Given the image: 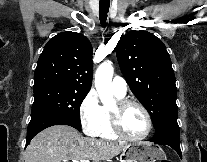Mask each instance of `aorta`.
<instances>
[{"instance_id": "obj_1", "label": "aorta", "mask_w": 207, "mask_h": 162, "mask_svg": "<svg viewBox=\"0 0 207 162\" xmlns=\"http://www.w3.org/2000/svg\"><path fill=\"white\" fill-rule=\"evenodd\" d=\"M113 66L111 61L103 62L95 74V87L103 105L108 106L114 103L111 90L113 76Z\"/></svg>"}]
</instances>
